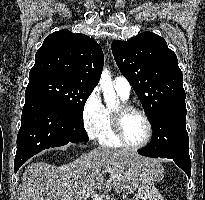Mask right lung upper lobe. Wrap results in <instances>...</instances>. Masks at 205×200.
Masks as SVG:
<instances>
[{
  "label": "right lung upper lobe",
  "instance_id": "1",
  "mask_svg": "<svg viewBox=\"0 0 205 200\" xmlns=\"http://www.w3.org/2000/svg\"><path fill=\"white\" fill-rule=\"evenodd\" d=\"M103 65V52L96 41L65 29L46 37L36 52L29 79L55 75L94 88Z\"/></svg>",
  "mask_w": 205,
  "mask_h": 200
}]
</instances>
